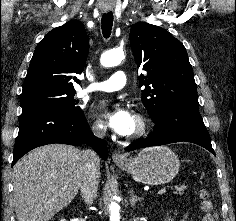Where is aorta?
I'll list each match as a JSON object with an SVG mask.
<instances>
[{"mask_svg":"<svg viewBox=\"0 0 236 221\" xmlns=\"http://www.w3.org/2000/svg\"><path fill=\"white\" fill-rule=\"evenodd\" d=\"M124 59V52L119 49L107 51L101 55L100 63L103 67H114ZM119 205L116 202L110 204V221H120Z\"/></svg>","mask_w":236,"mask_h":221,"instance_id":"1","label":"aorta"}]
</instances>
